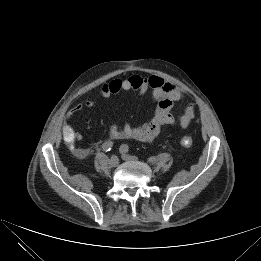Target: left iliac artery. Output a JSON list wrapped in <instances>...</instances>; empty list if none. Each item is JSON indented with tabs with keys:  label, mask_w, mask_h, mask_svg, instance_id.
<instances>
[{
	"label": "left iliac artery",
	"mask_w": 261,
	"mask_h": 261,
	"mask_svg": "<svg viewBox=\"0 0 261 261\" xmlns=\"http://www.w3.org/2000/svg\"><path fill=\"white\" fill-rule=\"evenodd\" d=\"M128 151H129V146L127 144H123V145L120 146V152L126 153Z\"/></svg>",
	"instance_id": "left-iliac-artery-1"
}]
</instances>
